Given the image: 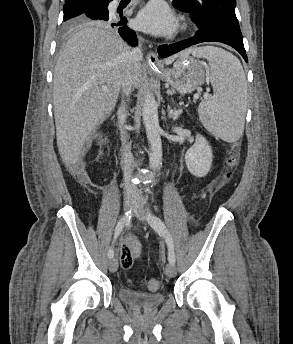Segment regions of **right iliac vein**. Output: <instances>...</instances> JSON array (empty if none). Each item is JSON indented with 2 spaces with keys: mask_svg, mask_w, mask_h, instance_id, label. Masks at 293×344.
Instances as JSON below:
<instances>
[{
  "mask_svg": "<svg viewBox=\"0 0 293 344\" xmlns=\"http://www.w3.org/2000/svg\"><path fill=\"white\" fill-rule=\"evenodd\" d=\"M136 206H137V203L135 201H132V200H127L124 203V209L126 211L132 210ZM117 269H118V260H117V258H112L109 261V270H110V272H116Z\"/></svg>",
  "mask_w": 293,
  "mask_h": 344,
  "instance_id": "obj_1",
  "label": "right iliac vein"
}]
</instances>
